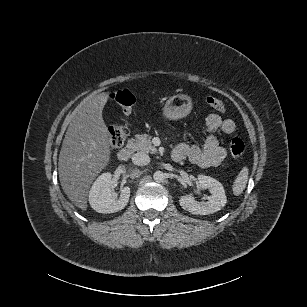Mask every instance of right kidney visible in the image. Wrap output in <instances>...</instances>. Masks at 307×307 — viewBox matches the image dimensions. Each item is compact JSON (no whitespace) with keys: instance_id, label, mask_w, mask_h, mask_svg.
I'll list each match as a JSON object with an SVG mask.
<instances>
[{"instance_id":"ca27d5eb","label":"right kidney","mask_w":307,"mask_h":307,"mask_svg":"<svg viewBox=\"0 0 307 307\" xmlns=\"http://www.w3.org/2000/svg\"><path fill=\"white\" fill-rule=\"evenodd\" d=\"M121 196L114 201L116 194L111 184V174H102L94 183L90 194L89 201L92 208L102 214H112L124 209L130 199V186L121 189Z\"/></svg>"}]
</instances>
